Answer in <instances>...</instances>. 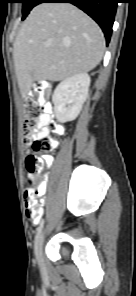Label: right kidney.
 I'll list each match as a JSON object with an SVG mask.
<instances>
[{"instance_id": "ca27d5eb", "label": "right kidney", "mask_w": 136, "mask_h": 296, "mask_svg": "<svg viewBox=\"0 0 136 296\" xmlns=\"http://www.w3.org/2000/svg\"><path fill=\"white\" fill-rule=\"evenodd\" d=\"M90 82L91 79L87 73H79L58 84L52 101L59 122L72 121L78 116L88 96Z\"/></svg>"}]
</instances>
